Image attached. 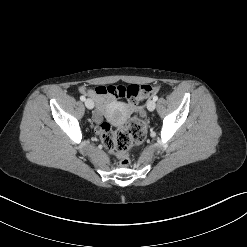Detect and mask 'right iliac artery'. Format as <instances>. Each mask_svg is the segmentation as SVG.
Returning a JSON list of instances; mask_svg holds the SVG:
<instances>
[{
	"instance_id": "right-iliac-artery-1",
	"label": "right iliac artery",
	"mask_w": 247,
	"mask_h": 247,
	"mask_svg": "<svg viewBox=\"0 0 247 247\" xmlns=\"http://www.w3.org/2000/svg\"><path fill=\"white\" fill-rule=\"evenodd\" d=\"M80 100L85 101L86 100L85 96H80Z\"/></svg>"
}]
</instances>
